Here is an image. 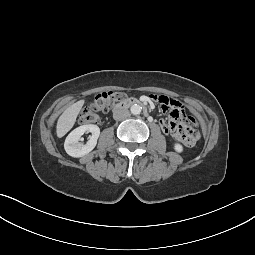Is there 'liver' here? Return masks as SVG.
<instances>
[{
  "label": "liver",
  "instance_id": "6515ba94",
  "mask_svg": "<svg viewBox=\"0 0 255 255\" xmlns=\"http://www.w3.org/2000/svg\"><path fill=\"white\" fill-rule=\"evenodd\" d=\"M84 105V100H80L69 106L59 117L56 126L57 137H63L68 131L71 130L75 124L76 118Z\"/></svg>",
  "mask_w": 255,
  "mask_h": 255
}]
</instances>
